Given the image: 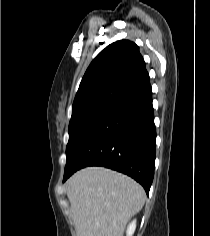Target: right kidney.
I'll return each mask as SVG.
<instances>
[{
  "mask_svg": "<svg viewBox=\"0 0 210 236\" xmlns=\"http://www.w3.org/2000/svg\"><path fill=\"white\" fill-rule=\"evenodd\" d=\"M135 228H136V220H133L127 228V231H126L127 235L126 236H132L135 231Z\"/></svg>",
  "mask_w": 210,
  "mask_h": 236,
  "instance_id": "1",
  "label": "right kidney"
}]
</instances>
